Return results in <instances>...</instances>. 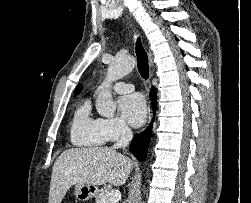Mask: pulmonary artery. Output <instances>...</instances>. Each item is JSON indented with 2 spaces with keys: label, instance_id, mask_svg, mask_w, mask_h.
I'll return each instance as SVG.
<instances>
[{
  "label": "pulmonary artery",
  "instance_id": "1",
  "mask_svg": "<svg viewBox=\"0 0 251 203\" xmlns=\"http://www.w3.org/2000/svg\"><path fill=\"white\" fill-rule=\"evenodd\" d=\"M113 90L118 93H127L134 90V86L123 81H118L113 85Z\"/></svg>",
  "mask_w": 251,
  "mask_h": 203
}]
</instances>
